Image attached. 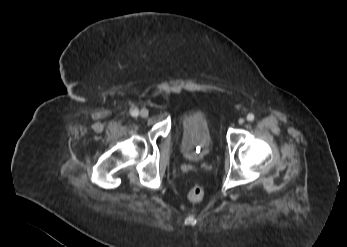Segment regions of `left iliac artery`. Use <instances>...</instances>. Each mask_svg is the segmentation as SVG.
<instances>
[{
    "instance_id": "obj_1",
    "label": "left iliac artery",
    "mask_w": 347,
    "mask_h": 247,
    "mask_svg": "<svg viewBox=\"0 0 347 247\" xmlns=\"http://www.w3.org/2000/svg\"><path fill=\"white\" fill-rule=\"evenodd\" d=\"M247 120L250 121V122L253 121L254 120V115L252 113L248 114L247 115Z\"/></svg>"
}]
</instances>
